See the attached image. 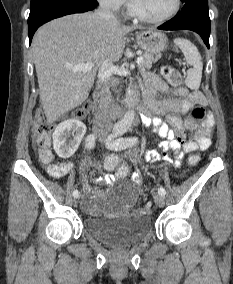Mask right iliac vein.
Returning a JSON list of instances; mask_svg holds the SVG:
<instances>
[{"mask_svg":"<svg viewBox=\"0 0 233 284\" xmlns=\"http://www.w3.org/2000/svg\"><path fill=\"white\" fill-rule=\"evenodd\" d=\"M78 201H79V196H78V197H75V199H74V204L77 205V204H78Z\"/></svg>","mask_w":233,"mask_h":284,"instance_id":"right-iliac-vein-1","label":"right iliac vein"}]
</instances>
